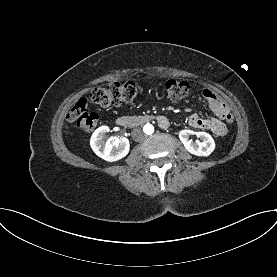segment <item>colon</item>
Listing matches in <instances>:
<instances>
[{
  "instance_id": "colon-1",
  "label": "colon",
  "mask_w": 277,
  "mask_h": 277,
  "mask_svg": "<svg viewBox=\"0 0 277 277\" xmlns=\"http://www.w3.org/2000/svg\"><path fill=\"white\" fill-rule=\"evenodd\" d=\"M165 89L171 100L179 101L189 94L190 85L183 80L169 79L165 83ZM139 93L140 87L137 83L133 81L117 82L94 88L90 92V100L101 107H110L131 102ZM67 118L84 131L94 129L98 123V115L90 111L86 98H81L74 104ZM225 119L227 123L232 124L235 121V116L232 112H227Z\"/></svg>"
}]
</instances>
